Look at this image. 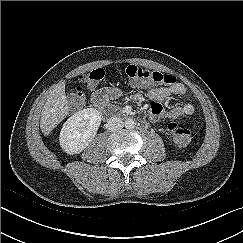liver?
<instances>
[{
	"mask_svg": "<svg viewBox=\"0 0 243 243\" xmlns=\"http://www.w3.org/2000/svg\"><path fill=\"white\" fill-rule=\"evenodd\" d=\"M69 113V105L65 94V84H58L52 89L43 106L40 117V128L45 136L61 122Z\"/></svg>",
	"mask_w": 243,
	"mask_h": 243,
	"instance_id": "1",
	"label": "liver"
}]
</instances>
